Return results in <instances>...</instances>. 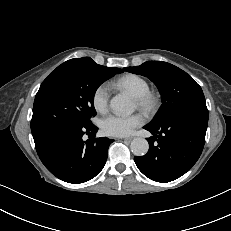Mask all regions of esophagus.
<instances>
[{
    "mask_svg": "<svg viewBox=\"0 0 231 231\" xmlns=\"http://www.w3.org/2000/svg\"><path fill=\"white\" fill-rule=\"evenodd\" d=\"M121 140H124V141H131L132 138H120Z\"/></svg>",
    "mask_w": 231,
    "mask_h": 231,
    "instance_id": "34e87169",
    "label": "esophagus"
}]
</instances>
